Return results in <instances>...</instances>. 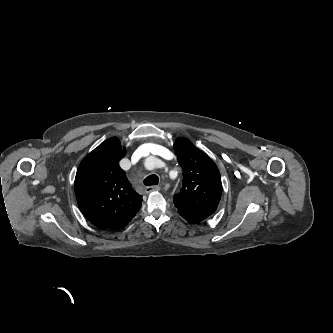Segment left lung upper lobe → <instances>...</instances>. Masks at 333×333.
Listing matches in <instances>:
<instances>
[{
	"instance_id": "1",
	"label": "left lung upper lobe",
	"mask_w": 333,
	"mask_h": 333,
	"mask_svg": "<svg viewBox=\"0 0 333 333\" xmlns=\"http://www.w3.org/2000/svg\"><path fill=\"white\" fill-rule=\"evenodd\" d=\"M178 162L183 169L180 192L174 196L178 211L203 218L213 214L222 193L219 170L212 159L186 138L174 143Z\"/></svg>"
}]
</instances>
